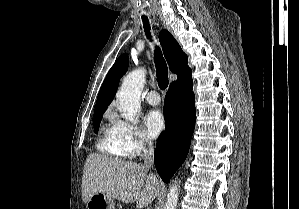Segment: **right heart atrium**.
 <instances>
[{
  "instance_id": "1",
  "label": "right heart atrium",
  "mask_w": 299,
  "mask_h": 209,
  "mask_svg": "<svg viewBox=\"0 0 299 209\" xmlns=\"http://www.w3.org/2000/svg\"><path fill=\"white\" fill-rule=\"evenodd\" d=\"M113 125L124 156L135 158L151 148V142L141 129L118 117H113Z\"/></svg>"
}]
</instances>
